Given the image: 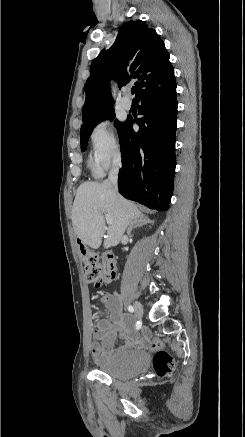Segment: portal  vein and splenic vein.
<instances>
[{
	"mask_svg": "<svg viewBox=\"0 0 245 437\" xmlns=\"http://www.w3.org/2000/svg\"><path fill=\"white\" fill-rule=\"evenodd\" d=\"M105 218H106V221H107L108 224L112 223V219H111L110 215L105 214Z\"/></svg>",
	"mask_w": 245,
	"mask_h": 437,
	"instance_id": "18ae733b",
	"label": "portal vein and splenic vein"
}]
</instances>
